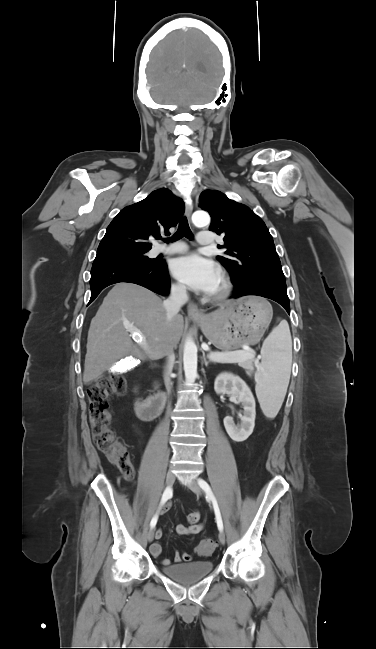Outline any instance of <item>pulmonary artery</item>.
<instances>
[{
    "label": "pulmonary artery",
    "mask_w": 376,
    "mask_h": 649,
    "mask_svg": "<svg viewBox=\"0 0 376 649\" xmlns=\"http://www.w3.org/2000/svg\"><path fill=\"white\" fill-rule=\"evenodd\" d=\"M197 242L202 247H208L214 243L213 235L208 231H201L198 234ZM186 246L182 243H175L170 246H157L154 248V254H176L186 251Z\"/></svg>",
    "instance_id": "1"
}]
</instances>
